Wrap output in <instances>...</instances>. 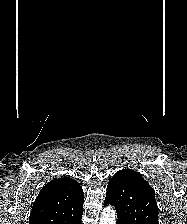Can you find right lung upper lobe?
<instances>
[{"label":"right lung upper lobe","mask_w":187,"mask_h":224,"mask_svg":"<svg viewBox=\"0 0 187 224\" xmlns=\"http://www.w3.org/2000/svg\"><path fill=\"white\" fill-rule=\"evenodd\" d=\"M84 193L70 177L47 183L39 192L29 217V224H69L82 215Z\"/></svg>","instance_id":"1"}]
</instances>
